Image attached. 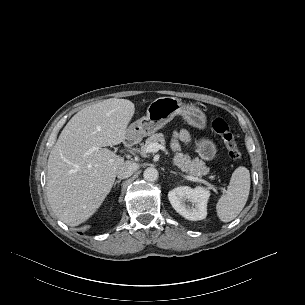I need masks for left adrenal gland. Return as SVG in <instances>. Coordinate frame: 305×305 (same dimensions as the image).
<instances>
[{
  "instance_id": "obj_1",
  "label": "left adrenal gland",
  "mask_w": 305,
  "mask_h": 305,
  "mask_svg": "<svg viewBox=\"0 0 305 305\" xmlns=\"http://www.w3.org/2000/svg\"><path fill=\"white\" fill-rule=\"evenodd\" d=\"M170 173H171V174H174V175H177V173H176V172H174V171H170Z\"/></svg>"
}]
</instances>
